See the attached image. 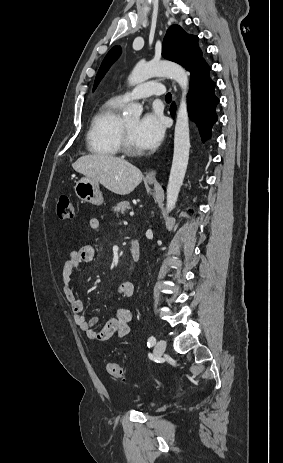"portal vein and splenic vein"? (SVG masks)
<instances>
[{"label": "portal vein and splenic vein", "instance_id": "18ae733b", "mask_svg": "<svg viewBox=\"0 0 283 463\" xmlns=\"http://www.w3.org/2000/svg\"><path fill=\"white\" fill-rule=\"evenodd\" d=\"M133 215H134V212H133V211H132V212H130V216H133Z\"/></svg>", "mask_w": 283, "mask_h": 463}]
</instances>
